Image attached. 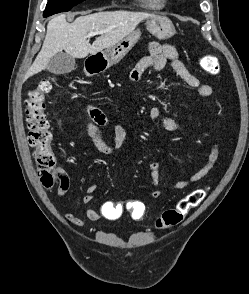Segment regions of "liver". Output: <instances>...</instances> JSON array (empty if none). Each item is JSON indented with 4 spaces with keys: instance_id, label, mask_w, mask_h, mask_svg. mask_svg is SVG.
Returning <instances> with one entry per match:
<instances>
[{
    "instance_id": "obj_1",
    "label": "liver",
    "mask_w": 249,
    "mask_h": 294,
    "mask_svg": "<svg viewBox=\"0 0 249 294\" xmlns=\"http://www.w3.org/2000/svg\"><path fill=\"white\" fill-rule=\"evenodd\" d=\"M152 14L130 11H101L83 15L68 23L66 15L52 18L47 25L42 49L37 55L26 78L47 68L49 60L64 50L73 58H85L107 49L134 31L136 26L152 17ZM89 32H102L91 45L87 40Z\"/></svg>"
}]
</instances>
